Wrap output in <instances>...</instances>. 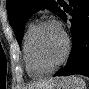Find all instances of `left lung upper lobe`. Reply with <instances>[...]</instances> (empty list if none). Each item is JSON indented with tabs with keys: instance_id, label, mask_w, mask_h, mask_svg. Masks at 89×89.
Masks as SVG:
<instances>
[{
	"instance_id": "5c2ea615",
	"label": "left lung upper lobe",
	"mask_w": 89,
	"mask_h": 89,
	"mask_svg": "<svg viewBox=\"0 0 89 89\" xmlns=\"http://www.w3.org/2000/svg\"><path fill=\"white\" fill-rule=\"evenodd\" d=\"M58 5L59 1L54 0H7L8 16L18 43L22 42L24 26L29 16L38 10L47 8L60 17L63 11Z\"/></svg>"
}]
</instances>
